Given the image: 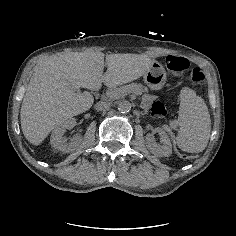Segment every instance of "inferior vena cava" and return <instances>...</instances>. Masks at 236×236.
Returning a JSON list of instances; mask_svg holds the SVG:
<instances>
[{"label": "inferior vena cava", "mask_w": 236, "mask_h": 236, "mask_svg": "<svg viewBox=\"0 0 236 236\" xmlns=\"http://www.w3.org/2000/svg\"><path fill=\"white\" fill-rule=\"evenodd\" d=\"M110 104H111L110 102H99L96 104L95 109L97 111L107 110V109H109Z\"/></svg>", "instance_id": "obj_1"}]
</instances>
